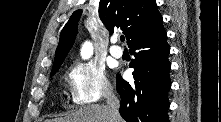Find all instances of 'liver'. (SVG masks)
Masks as SVG:
<instances>
[{
	"instance_id": "1",
	"label": "liver",
	"mask_w": 221,
	"mask_h": 122,
	"mask_svg": "<svg viewBox=\"0 0 221 122\" xmlns=\"http://www.w3.org/2000/svg\"><path fill=\"white\" fill-rule=\"evenodd\" d=\"M111 120L107 106L93 104L75 110L66 118L55 119L53 122H111ZM115 122H123L120 115Z\"/></svg>"
}]
</instances>
